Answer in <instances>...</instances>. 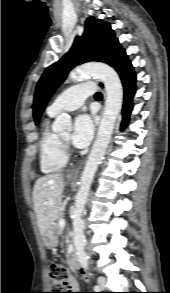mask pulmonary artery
Segmentation results:
<instances>
[{"instance_id": "obj_1", "label": "pulmonary artery", "mask_w": 170, "mask_h": 293, "mask_svg": "<svg viewBox=\"0 0 170 293\" xmlns=\"http://www.w3.org/2000/svg\"><path fill=\"white\" fill-rule=\"evenodd\" d=\"M95 91L92 83H82L60 93L47 108V112L56 115L61 111H72L83 105L85 99Z\"/></svg>"}]
</instances>
